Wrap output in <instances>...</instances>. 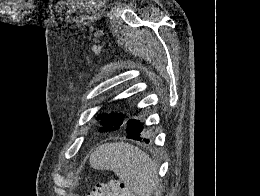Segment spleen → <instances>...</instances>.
Here are the masks:
<instances>
[{
	"instance_id": "obj_1",
	"label": "spleen",
	"mask_w": 260,
	"mask_h": 196,
	"mask_svg": "<svg viewBox=\"0 0 260 196\" xmlns=\"http://www.w3.org/2000/svg\"><path fill=\"white\" fill-rule=\"evenodd\" d=\"M90 166L94 170H112L137 196H152L158 186L157 166L146 152L126 142L98 146L90 156Z\"/></svg>"
}]
</instances>
